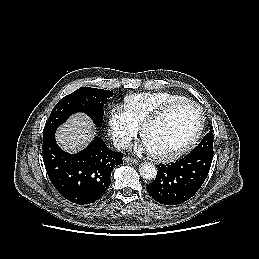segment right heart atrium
<instances>
[{
  "label": "right heart atrium",
  "mask_w": 259,
  "mask_h": 259,
  "mask_svg": "<svg viewBox=\"0 0 259 259\" xmlns=\"http://www.w3.org/2000/svg\"><path fill=\"white\" fill-rule=\"evenodd\" d=\"M108 123L113 142L118 148H127L138 134V127L132 122L125 106L114 105Z\"/></svg>",
  "instance_id": "1"
}]
</instances>
